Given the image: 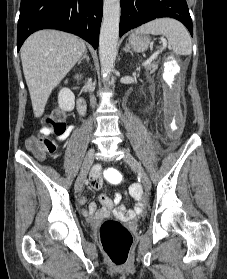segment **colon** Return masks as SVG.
I'll use <instances>...</instances> for the list:
<instances>
[{"label":"colon","mask_w":227,"mask_h":279,"mask_svg":"<svg viewBox=\"0 0 227 279\" xmlns=\"http://www.w3.org/2000/svg\"><path fill=\"white\" fill-rule=\"evenodd\" d=\"M181 106L184 107V98L181 96ZM63 112L56 110L53 116L44 120V124L51 126L53 131L61 133L65 130V123L59 118ZM27 147L38 158H45L47 154L56 149V144L48 138H32L28 141ZM107 179L113 183L123 182L122 173L113 169L107 173ZM100 241L103 250L108 258L116 265H124L129 256L132 236L126 226L116 221H107L100 230Z\"/></svg>","instance_id":"1"}]
</instances>
